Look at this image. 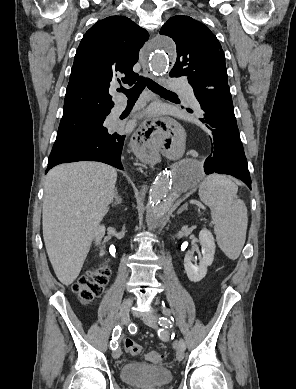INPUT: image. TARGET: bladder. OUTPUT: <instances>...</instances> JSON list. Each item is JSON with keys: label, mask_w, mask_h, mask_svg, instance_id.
<instances>
[{"label": "bladder", "mask_w": 296, "mask_h": 389, "mask_svg": "<svg viewBox=\"0 0 296 389\" xmlns=\"http://www.w3.org/2000/svg\"><path fill=\"white\" fill-rule=\"evenodd\" d=\"M120 377L126 384L141 389H156L172 381V374L166 367L141 362L124 364Z\"/></svg>", "instance_id": "bladder-1"}]
</instances>
